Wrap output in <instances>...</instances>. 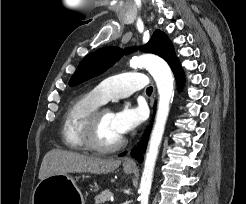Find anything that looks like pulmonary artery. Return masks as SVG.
I'll return each mask as SVG.
<instances>
[{
	"label": "pulmonary artery",
	"mask_w": 246,
	"mask_h": 204,
	"mask_svg": "<svg viewBox=\"0 0 246 204\" xmlns=\"http://www.w3.org/2000/svg\"><path fill=\"white\" fill-rule=\"evenodd\" d=\"M148 86V79L141 72H127L114 75L100 82L92 90V94L101 102L110 99L125 98L133 92Z\"/></svg>",
	"instance_id": "pulmonary-artery-1"
}]
</instances>
